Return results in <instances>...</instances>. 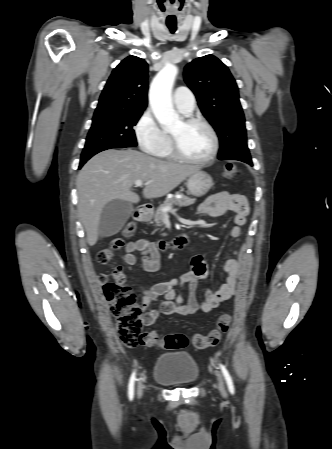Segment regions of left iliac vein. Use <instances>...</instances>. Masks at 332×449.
<instances>
[{"label":"left iliac vein","instance_id":"obj_1","mask_svg":"<svg viewBox=\"0 0 332 449\" xmlns=\"http://www.w3.org/2000/svg\"><path fill=\"white\" fill-rule=\"evenodd\" d=\"M215 375H216V378H217V388L219 389L220 393L223 396H226V389H225V385H224V381H223L222 375L218 371L215 372Z\"/></svg>","mask_w":332,"mask_h":449}]
</instances>
